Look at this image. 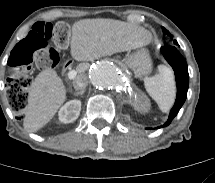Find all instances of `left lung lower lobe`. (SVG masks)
Masks as SVG:
<instances>
[{
    "label": "left lung lower lobe",
    "mask_w": 215,
    "mask_h": 183,
    "mask_svg": "<svg viewBox=\"0 0 215 183\" xmlns=\"http://www.w3.org/2000/svg\"><path fill=\"white\" fill-rule=\"evenodd\" d=\"M162 54L171 65L174 70L176 86H177V96L173 108L170 111L167 121L160 127L168 126L174 117L178 114L179 110L183 106L188 91L189 85V74L188 67L183 56L178 52V50L173 46H164L161 48ZM157 127V128H160Z\"/></svg>",
    "instance_id": "obj_1"
}]
</instances>
